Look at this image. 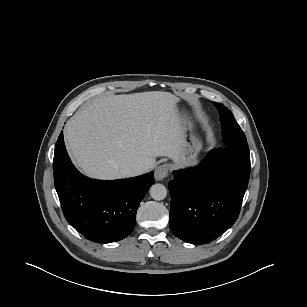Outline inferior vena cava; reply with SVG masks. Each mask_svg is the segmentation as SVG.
Returning a JSON list of instances; mask_svg holds the SVG:
<instances>
[{
	"label": "inferior vena cava",
	"mask_w": 307,
	"mask_h": 307,
	"mask_svg": "<svg viewBox=\"0 0 307 307\" xmlns=\"http://www.w3.org/2000/svg\"><path fill=\"white\" fill-rule=\"evenodd\" d=\"M146 169L147 168L145 166H134V167H131V168H126L124 170V174L128 177L136 176V175H139V174H142L143 172H145Z\"/></svg>",
	"instance_id": "inferior-vena-cava-1"
}]
</instances>
